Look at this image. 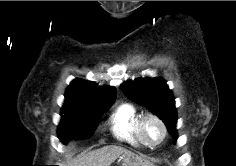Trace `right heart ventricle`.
Returning a JSON list of instances; mask_svg holds the SVG:
<instances>
[{
  "mask_svg": "<svg viewBox=\"0 0 236 166\" xmlns=\"http://www.w3.org/2000/svg\"><path fill=\"white\" fill-rule=\"evenodd\" d=\"M142 115V111L132 103L124 102L118 105L109 119L114 136L131 146H145L138 131Z\"/></svg>",
  "mask_w": 236,
  "mask_h": 166,
  "instance_id": "e07e8e85",
  "label": "right heart ventricle"
}]
</instances>
